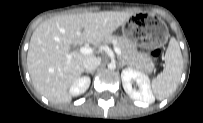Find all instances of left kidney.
Masks as SVG:
<instances>
[{
	"label": "left kidney",
	"mask_w": 203,
	"mask_h": 123,
	"mask_svg": "<svg viewBox=\"0 0 203 123\" xmlns=\"http://www.w3.org/2000/svg\"><path fill=\"white\" fill-rule=\"evenodd\" d=\"M121 79L123 88L130 98L147 104L154 102L155 98L152 94L150 80L147 75L132 68H126L122 70ZM133 81L136 82L139 90L133 89Z\"/></svg>",
	"instance_id": "5707ae66"
}]
</instances>
